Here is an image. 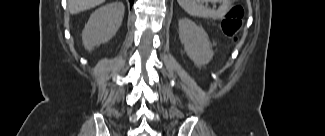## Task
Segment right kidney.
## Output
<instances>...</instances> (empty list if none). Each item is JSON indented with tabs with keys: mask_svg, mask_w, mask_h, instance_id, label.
<instances>
[{
	"mask_svg": "<svg viewBox=\"0 0 325 136\" xmlns=\"http://www.w3.org/2000/svg\"><path fill=\"white\" fill-rule=\"evenodd\" d=\"M124 10L123 3L115 1L93 12L82 32L85 49L91 51L112 39L121 26Z\"/></svg>",
	"mask_w": 325,
	"mask_h": 136,
	"instance_id": "1",
	"label": "right kidney"
}]
</instances>
